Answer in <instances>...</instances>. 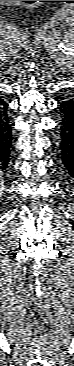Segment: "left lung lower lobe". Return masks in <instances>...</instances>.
<instances>
[{
    "mask_svg": "<svg viewBox=\"0 0 74 366\" xmlns=\"http://www.w3.org/2000/svg\"><path fill=\"white\" fill-rule=\"evenodd\" d=\"M62 120L58 129L57 150L64 169L74 176V98L59 104Z\"/></svg>",
    "mask_w": 74,
    "mask_h": 366,
    "instance_id": "obj_1",
    "label": "left lung lower lobe"
}]
</instances>
